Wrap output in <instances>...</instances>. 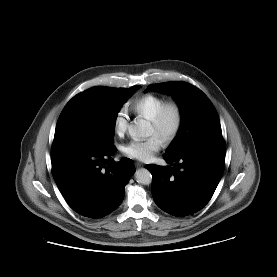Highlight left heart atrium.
I'll return each mask as SVG.
<instances>
[{"label": "left heart atrium", "mask_w": 277, "mask_h": 277, "mask_svg": "<svg viewBox=\"0 0 277 277\" xmlns=\"http://www.w3.org/2000/svg\"><path fill=\"white\" fill-rule=\"evenodd\" d=\"M162 147V140L157 135L144 140H132L124 145L123 152L130 158L148 161Z\"/></svg>", "instance_id": "39dd6f15"}]
</instances>
